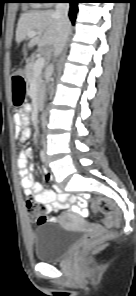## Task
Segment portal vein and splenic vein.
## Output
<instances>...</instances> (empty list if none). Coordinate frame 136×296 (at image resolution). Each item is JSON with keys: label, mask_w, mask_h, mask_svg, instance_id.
Wrapping results in <instances>:
<instances>
[{"label": "portal vein and splenic vein", "mask_w": 136, "mask_h": 296, "mask_svg": "<svg viewBox=\"0 0 136 296\" xmlns=\"http://www.w3.org/2000/svg\"><path fill=\"white\" fill-rule=\"evenodd\" d=\"M38 33L36 31H30L27 33V36L29 38L37 35ZM44 64H45V58L44 57H38V59L36 60L35 62V66H34V74L35 75H38L41 73L43 67H44Z\"/></svg>", "instance_id": "18ae733b"}]
</instances>
